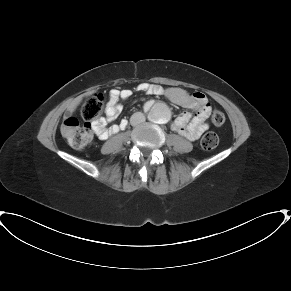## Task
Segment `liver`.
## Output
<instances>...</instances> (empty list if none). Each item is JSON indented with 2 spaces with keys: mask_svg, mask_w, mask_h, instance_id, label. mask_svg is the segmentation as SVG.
Masks as SVG:
<instances>
[{
  "mask_svg": "<svg viewBox=\"0 0 291 291\" xmlns=\"http://www.w3.org/2000/svg\"><path fill=\"white\" fill-rule=\"evenodd\" d=\"M91 94H92V92H89V93H86V94H84V95H82V96H79V97L75 98V99H74V100L69 104V106L67 107V110H68L70 113H73V112L76 110V108L78 107V105L81 103L83 96H88V95H91ZM64 119H66V117H64Z\"/></svg>",
  "mask_w": 291,
  "mask_h": 291,
  "instance_id": "6515ba94",
  "label": "liver"
}]
</instances>
